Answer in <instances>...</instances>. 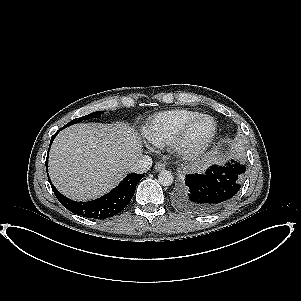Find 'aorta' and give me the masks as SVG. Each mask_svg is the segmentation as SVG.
Masks as SVG:
<instances>
[{"instance_id": "1", "label": "aorta", "mask_w": 301, "mask_h": 301, "mask_svg": "<svg viewBox=\"0 0 301 301\" xmlns=\"http://www.w3.org/2000/svg\"><path fill=\"white\" fill-rule=\"evenodd\" d=\"M174 181L172 173L168 170H163L158 175V182L162 186H170Z\"/></svg>"}]
</instances>
